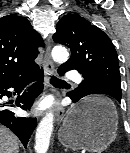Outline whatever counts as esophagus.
<instances>
[{
	"instance_id": "34e87169",
	"label": "esophagus",
	"mask_w": 130,
	"mask_h": 153,
	"mask_svg": "<svg viewBox=\"0 0 130 153\" xmlns=\"http://www.w3.org/2000/svg\"><path fill=\"white\" fill-rule=\"evenodd\" d=\"M44 72H45V81L48 82V76L55 72V67L50 56V46L47 47L44 55ZM56 120L60 121L64 116V108L60 105H56L54 108Z\"/></svg>"
}]
</instances>
